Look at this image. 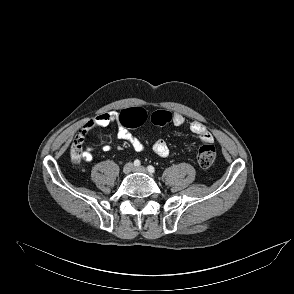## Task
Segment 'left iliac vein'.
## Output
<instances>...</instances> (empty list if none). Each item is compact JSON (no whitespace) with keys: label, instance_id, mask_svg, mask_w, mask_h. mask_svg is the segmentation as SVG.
I'll return each instance as SVG.
<instances>
[{"label":"left iliac vein","instance_id":"1","mask_svg":"<svg viewBox=\"0 0 294 294\" xmlns=\"http://www.w3.org/2000/svg\"><path fill=\"white\" fill-rule=\"evenodd\" d=\"M133 171H135V172L145 173V174H148V175H150L151 177H153L152 174H150V173L148 172V170H147L145 167H143V166L134 167V168H133Z\"/></svg>","mask_w":294,"mask_h":294}]
</instances>
